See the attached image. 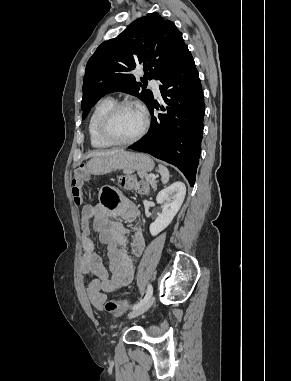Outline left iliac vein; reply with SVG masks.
<instances>
[{
	"instance_id": "left-iliac-vein-1",
	"label": "left iliac vein",
	"mask_w": 291,
	"mask_h": 381,
	"mask_svg": "<svg viewBox=\"0 0 291 381\" xmlns=\"http://www.w3.org/2000/svg\"><path fill=\"white\" fill-rule=\"evenodd\" d=\"M153 302H154V296H151L142 305H140L138 308H136L132 312H130L128 314V318L132 319V318H135V317L143 314L144 312H146L151 307Z\"/></svg>"
}]
</instances>
